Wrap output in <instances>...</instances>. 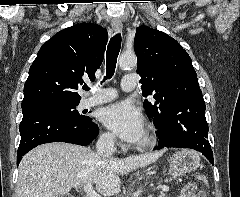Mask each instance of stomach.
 Returning <instances> with one entry per match:
<instances>
[{"label":"stomach","instance_id":"0dacf381","mask_svg":"<svg viewBox=\"0 0 240 197\" xmlns=\"http://www.w3.org/2000/svg\"><path fill=\"white\" fill-rule=\"evenodd\" d=\"M169 174L181 176L195 171L200 166L199 155L193 150H181L169 159Z\"/></svg>","mask_w":240,"mask_h":197}]
</instances>
